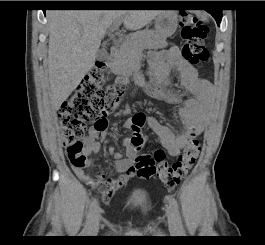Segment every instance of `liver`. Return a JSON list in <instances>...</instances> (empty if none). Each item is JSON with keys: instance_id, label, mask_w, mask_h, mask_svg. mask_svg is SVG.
<instances>
[{"instance_id": "6515ba94", "label": "liver", "mask_w": 265, "mask_h": 245, "mask_svg": "<svg viewBox=\"0 0 265 245\" xmlns=\"http://www.w3.org/2000/svg\"><path fill=\"white\" fill-rule=\"evenodd\" d=\"M162 10H53L49 23L48 75L55 110L76 89L93 67L101 40L117 19L138 30Z\"/></svg>"}]
</instances>
